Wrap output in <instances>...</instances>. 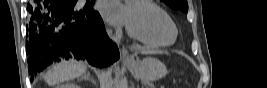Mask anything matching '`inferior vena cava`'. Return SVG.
Returning <instances> with one entry per match:
<instances>
[{
    "label": "inferior vena cava",
    "mask_w": 267,
    "mask_h": 88,
    "mask_svg": "<svg viewBox=\"0 0 267 88\" xmlns=\"http://www.w3.org/2000/svg\"><path fill=\"white\" fill-rule=\"evenodd\" d=\"M107 32H108V34H109V35H111V34H112V31H111V29H108V31H107Z\"/></svg>",
    "instance_id": "inferior-vena-cava-1"
}]
</instances>
